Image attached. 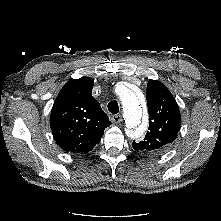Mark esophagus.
I'll return each instance as SVG.
<instances>
[{"mask_svg":"<svg viewBox=\"0 0 221 221\" xmlns=\"http://www.w3.org/2000/svg\"><path fill=\"white\" fill-rule=\"evenodd\" d=\"M111 120L115 123L118 124L122 121V116L120 114H115L111 117Z\"/></svg>","mask_w":221,"mask_h":221,"instance_id":"esophagus-1","label":"esophagus"}]
</instances>
